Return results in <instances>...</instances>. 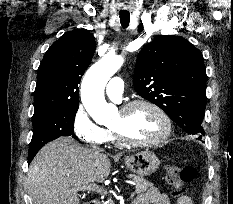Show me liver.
<instances>
[{"mask_svg": "<svg viewBox=\"0 0 233 204\" xmlns=\"http://www.w3.org/2000/svg\"><path fill=\"white\" fill-rule=\"evenodd\" d=\"M107 155L81 147L71 137L46 144L28 171L33 204H79L74 188L103 183L110 174Z\"/></svg>", "mask_w": 233, "mask_h": 204, "instance_id": "1", "label": "liver"}]
</instances>
